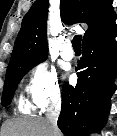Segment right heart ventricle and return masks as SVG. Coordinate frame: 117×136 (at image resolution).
Segmentation results:
<instances>
[{
	"label": "right heart ventricle",
	"instance_id": "e07e8e85",
	"mask_svg": "<svg viewBox=\"0 0 117 136\" xmlns=\"http://www.w3.org/2000/svg\"><path fill=\"white\" fill-rule=\"evenodd\" d=\"M18 107L24 113H30L33 109L29 103L24 102L22 99L19 100Z\"/></svg>",
	"mask_w": 117,
	"mask_h": 136
}]
</instances>
